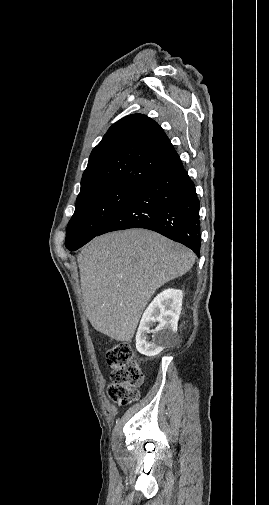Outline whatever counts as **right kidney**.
Masks as SVG:
<instances>
[{
  "label": "right kidney",
  "instance_id": "obj_1",
  "mask_svg": "<svg viewBox=\"0 0 269 505\" xmlns=\"http://www.w3.org/2000/svg\"><path fill=\"white\" fill-rule=\"evenodd\" d=\"M182 299L181 290L166 289L149 304L136 333V349L139 353L148 357L156 356L175 341ZM153 325H156L155 329L150 330ZM149 333L153 334L150 342Z\"/></svg>",
  "mask_w": 269,
  "mask_h": 505
}]
</instances>
